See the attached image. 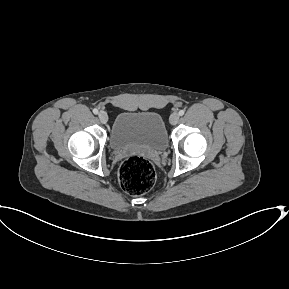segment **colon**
Segmentation results:
<instances>
[{
  "mask_svg": "<svg viewBox=\"0 0 289 289\" xmlns=\"http://www.w3.org/2000/svg\"><path fill=\"white\" fill-rule=\"evenodd\" d=\"M156 173L152 163L142 156H131L124 160L119 172V184L131 195L148 192L155 183Z\"/></svg>",
  "mask_w": 289,
  "mask_h": 289,
  "instance_id": "obj_1",
  "label": "colon"
}]
</instances>
